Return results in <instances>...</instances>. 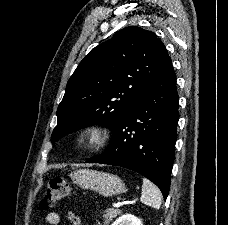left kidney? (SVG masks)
Returning <instances> with one entry per match:
<instances>
[{
	"label": "left kidney",
	"mask_w": 228,
	"mask_h": 225,
	"mask_svg": "<svg viewBox=\"0 0 228 225\" xmlns=\"http://www.w3.org/2000/svg\"><path fill=\"white\" fill-rule=\"evenodd\" d=\"M113 225H142L140 219L134 217V215H121L119 219L114 221Z\"/></svg>",
	"instance_id": "left-kidney-1"
}]
</instances>
